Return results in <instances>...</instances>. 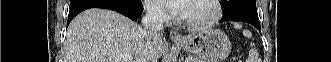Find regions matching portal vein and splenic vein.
<instances>
[{
  "label": "portal vein and splenic vein",
  "mask_w": 331,
  "mask_h": 62,
  "mask_svg": "<svg viewBox=\"0 0 331 62\" xmlns=\"http://www.w3.org/2000/svg\"><path fill=\"white\" fill-rule=\"evenodd\" d=\"M115 62H131V56L118 55L113 57ZM189 61H192V58H188Z\"/></svg>",
  "instance_id": "portal-vein-and-splenic-vein-1"
}]
</instances>
